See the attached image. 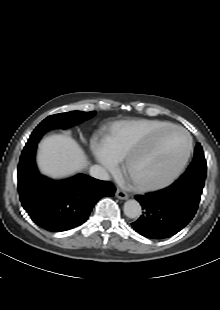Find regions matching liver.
<instances>
[{
	"instance_id": "1",
	"label": "liver",
	"mask_w": 220,
	"mask_h": 310,
	"mask_svg": "<svg viewBox=\"0 0 220 310\" xmlns=\"http://www.w3.org/2000/svg\"><path fill=\"white\" fill-rule=\"evenodd\" d=\"M37 163L41 172L52 178H62L81 171L88 165L87 157L71 137L55 134L39 145Z\"/></svg>"
}]
</instances>
